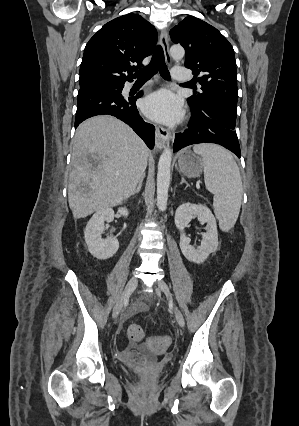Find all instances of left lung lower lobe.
Here are the masks:
<instances>
[{
    "mask_svg": "<svg viewBox=\"0 0 299 426\" xmlns=\"http://www.w3.org/2000/svg\"><path fill=\"white\" fill-rule=\"evenodd\" d=\"M191 106L189 129L175 135L174 152L192 144L216 143L240 158V146L235 131L237 114L216 104L200 108Z\"/></svg>",
    "mask_w": 299,
    "mask_h": 426,
    "instance_id": "1",
    "label": "left lung lower lobe"
}]
</instances>
